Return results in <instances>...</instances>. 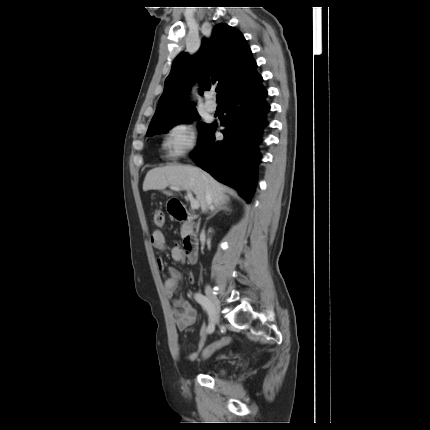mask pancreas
Wrapping results in <instances>:
<instances>
[{
  "label": "pancreas",
  "mask_w": 430,
  "mask_h": 430,
  "mask_svg": "<svg viewBox=\"0 0 430 430\" xmlns=\"http://www.w3.org/2000/svg\"><path fill=\"white\" fill-rule=\"evenodd\" d=\"M188 227L187 226H182L181 228V235L183 236L186 232H187Z\"/></svg>",
  "instance_id": "1"
}]
</instances>
